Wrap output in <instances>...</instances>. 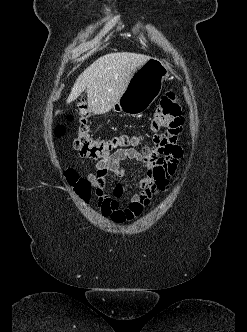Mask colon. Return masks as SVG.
Instances as JSON below:
<instances>
[{"label":"colon","instance_id":"colon-1","mask_svg":"<svg viewBox=\"0 0 247 332\" xmlns=\"http://www.w3.org/2000/svg\"><path fill=\"white\" fill-rule=\"evenodd\" d=\"M77 115L79 125L77 128L74 148L83 157L98 159L108 156L116 149H122L128 146L138 144V138L127 135L116 136L112 138L93 137L87 125L89 110L84 102L77 105ZM181 106L178 98L173 92L166 93L160 100L150 123V131L154 135V144L156 146L166 142L171 135L179 133L182 119ZM74 115H69L67 121L73 122ZM65 132L64 125H58L55 134L57 137L63 136ZM68 179L74 187L76 193L85 201H89L91 193V183L86 178H80L76 172H70Z\"/></svg>","mask_w":247,"mask_h":332}]
</instances>
